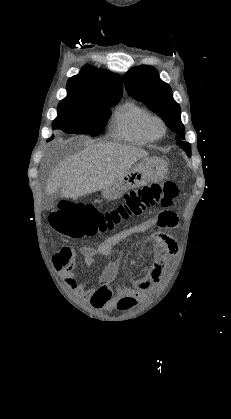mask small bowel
<instances>
[{"label": "small bowel", "mask_w": 231, "mask_h": 419, "mask_svg": "<svg viewBox=\"0 0 231 419\" xmlns=\"http://www.w3.org/2000/svg\"><path fill=\"white\" fill-rule=\"evenodd\" d=\"M163 231H156L148 240L154 244V262L146 275L133 279L131 287H117L115 291L110 285L115 281L118 272L116 262L110 261L104 268L96 286L88 288L85 282H79L76 277V251L71 247L62 248L60 251L65 263L53 257L54 267L60 271L67 287L86 299L92 308L97 310H110L125 296L134 300L143 298L148 292L155 289L165 279L171 257L179 251L177 240L166 232H175L178 217L173 211H163L158 216L125 228L118 233L107 237L97 248L83 246L79 252L86 265L94 263L96 255L109 256L113 247L124 241L129 236L150 230L154 226H161Z\"/></svg>", "instance_id": "1"}]
</instances>
